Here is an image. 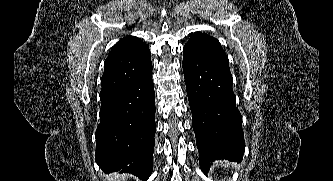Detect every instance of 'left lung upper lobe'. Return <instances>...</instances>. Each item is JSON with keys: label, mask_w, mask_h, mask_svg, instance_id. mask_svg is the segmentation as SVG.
<instances>
[{"label": "left lung upper lobe", "mask_w": 333, "mask_h": 181, "mask_svg": "<svg viewBox=\"0 0 333 181\" xmlns=\"http://www.w3.org/2000/svg\"><path fill=\"white\" fill-rule=\"evenodd\" d=\"M184 47L229 68L228 57L219 41L212 36L197 32L191 36Z\"/></svg>", "instance_id": "obj_1"}]
</instances>
